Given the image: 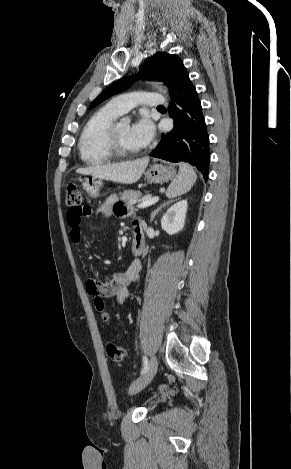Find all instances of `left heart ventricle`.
<instances>
[{
    "instance_id": "b2bd125f",
    "label": "left heart ventricle",
    "mask_w": 291,
    "mask_h": 469,
    "mask_svg": "<svg viewBox=\"0 0 291 469\" xmlns=\"http://www.w3.org/2000/svg\"><path fill=\"white\" fill-rule=\"evenodd\" d=\"M118 136L121 145L129 150H138L140 147L131 137V126L126 122H120L118 126Z\"/></svg>"
}]
</instances>
